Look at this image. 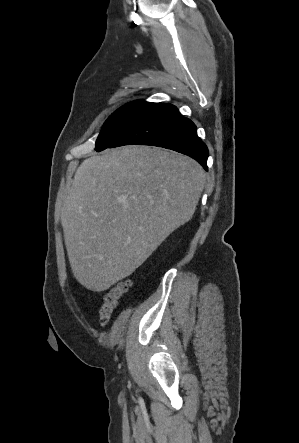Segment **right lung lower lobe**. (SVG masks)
Returning a JSON list of instances; mask_svg holds the SVG:
<instances>
[{"mask_svg": "<svg viewBox=\"0 0 299 443\" xmlns=\"http://www.w3.org/2000/svg\"><path fill=\"white\" fill-rule=\"evenodd\" d=\"M152 145L171 149L197 160L207 170L208 149L197 136L194 123L171 104L151 103L108 147Z\"/></svg>", "mask_w": 299, "mask_h": 443, "instance_id": "1", "label": "right lung lower lobe"}]
</instances>
